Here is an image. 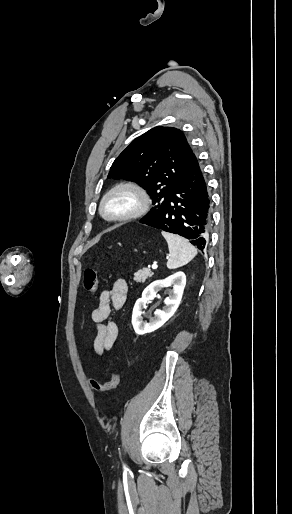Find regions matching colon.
<instances>
[{"label": "colon", "mask_w": 292, "mask_h": 514, "mask_svg": "<svg viewBox=\"0 0 292 514\" xmlns=\"http://www.w3.org/2000/svg\"><path fill=\"white\" fill-rule=\"evenodd\" d=\"M99 272L96 268H87L84 272L83 287L87 294L94 295L98 291ZM91 378L90 376L88 377ZM119 375L115 371L109 373V380L103 384L92 382L94 389L98 392L115 390L119 385Z\"/></svg>", "instance_id": "colon-1"}]
</instances>
